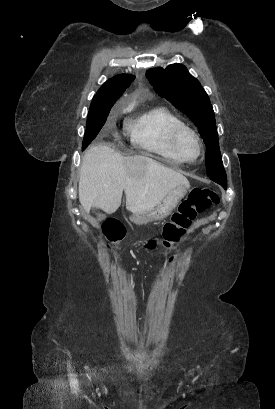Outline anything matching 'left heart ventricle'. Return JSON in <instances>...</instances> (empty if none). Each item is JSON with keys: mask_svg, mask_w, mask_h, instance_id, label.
Segmentation results:
<instances>
[{"mask_svg": "<svg viewBox=\"0 0 275 409\" xmlns=\"http://www.w3.org/2000/svg\"><path fill=\"white\" fill-rule=\"evenodd\" d=\"M177 153L180 157H194L197 147L194 140L189 135H184L178 142Z\"/></svg>", "mask_w": 275, "mask_h": 409, "instance_id": "1", "label": "left heart ventricle"}]
</instances>
